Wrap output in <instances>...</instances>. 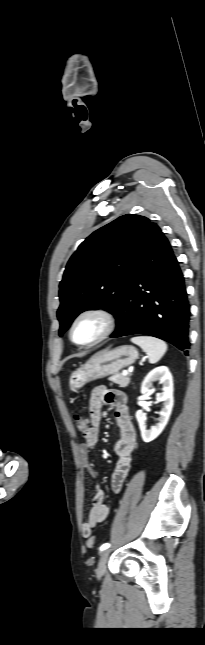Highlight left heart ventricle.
<instances>
[{
	"instance_id": "1",
	"label": "left heart ventricle",
	"mask_w": 205,
	"mask_h": 645,
	"mask_svg": "<svg viewBox=\"0 0 205 645\" xmlns=\"http://www.w3.org/2000/svg\"><path fill=\"white\" fill-rule=\"evenodd\" d=\"M102 330V323L95 317H86L76 326L74 338L81 343L90 342L95 339Z\"/></svg>"
}]
</instances>
